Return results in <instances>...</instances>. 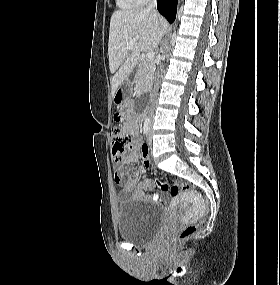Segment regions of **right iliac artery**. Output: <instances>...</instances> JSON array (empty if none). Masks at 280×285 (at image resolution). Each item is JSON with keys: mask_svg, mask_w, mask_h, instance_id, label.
<instances>
[{"mask_svg": "<svg viewBox=\"0 0 280 285\" xmlns=\"http://www.w3.org/2000/svg\"><path fill=\"white\" fill-rule=\"evenodd\" d=\"M149 128H150V119L147 118V119L145 120L144 126H143V133H144L145 135L148 134Z\"/></svg>", "mask_w": 280, "mask_h": 285, "instance_id": "82829eb1", "label": "right iliac artery"}]
</instances>
